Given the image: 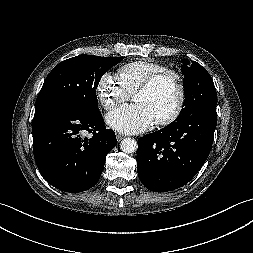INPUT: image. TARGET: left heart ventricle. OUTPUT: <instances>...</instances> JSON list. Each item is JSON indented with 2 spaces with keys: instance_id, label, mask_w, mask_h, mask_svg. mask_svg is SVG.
Returning <instances> with one entry per match:
<instances>
[{
  "instance_id": "b2bd125f",
  "label": "left heart ventricle",
  "mask_w": 253,
  "mask_h": 253,
  "mask_svg": "<svg viewBox=\"0 0 253 253\" xmlns=\"http://www.w3.org/2000/svg\"><path fill=\"white\" fill-rule=\"evenodd\" d=\"M134 100L137 104L146 105L157 120L172 112L177 102V92L170 81H164L153 91L137 93Z\"/></svg>"
}]
</instances>
